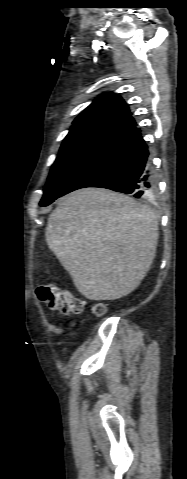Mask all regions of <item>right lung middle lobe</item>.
<instances>
[{
	"mask_svg": "<svg viewBox=\"0 0 187 479\" xmlns=\"http://www.w3.org/2000/svg\"><path fill=\"white\" fill-rule=\"evenodd\" d=\"M126 134L105 126L70 130L51 168L40 205L51 204L82 170L102 156Z\"/></svg>",
	"mask_w": 187,
	"mask_h": 479,
	"instance_id": "obj_1",
	"label": "right lung middle lobe"
}]
</instances>
